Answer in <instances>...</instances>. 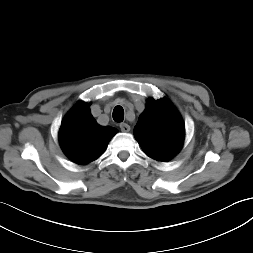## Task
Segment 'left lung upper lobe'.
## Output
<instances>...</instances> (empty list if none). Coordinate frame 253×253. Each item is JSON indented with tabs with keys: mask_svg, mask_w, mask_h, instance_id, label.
I'll use <instances>...</instances> for the list:
<instances>
[{
	"mask_svg": "<svg viewBox=\"0 0 253 253\" xmlns=\"http://www.w3.org/2000/svg\"><path fill=\"white\" fill-rule=\"evenodd\" d=\"M134 136L146 155L158 161H168L182 148L185 126L167 99L150 98L134 128Z\"/></svg>",
	"mask_w": 253,
	"mask_h": 253,
	"instance_id": "obj_1",
	"label": "left lung upper lobe"
}]
</instances>
